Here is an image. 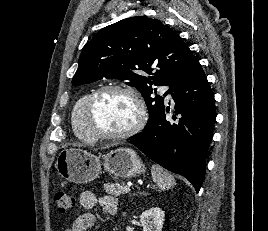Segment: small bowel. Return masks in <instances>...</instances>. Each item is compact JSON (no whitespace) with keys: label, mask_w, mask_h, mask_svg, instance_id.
I'll use <instances>...</instances> for the list:
<instances>
[{"label":"small bowel","mask_w":268,"mask_h":231,"mask_svg":"<svg viewBox=\"0 0 268 231\" xmlns=\"http://www.w3.org/2000/svg\"><path fill=\"white\" fill-rule=\"evenodd\" d=\"M79 204L85 209H92L99 205L109 215H114L118 210V201L115 197L110 195L97 197L90 191H84L80 194ZM95 223V215L85 213L77 217L64 231H89Z\"/></svg>","instance_id":"c3829d8e"}]
</instances>
